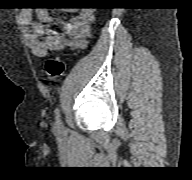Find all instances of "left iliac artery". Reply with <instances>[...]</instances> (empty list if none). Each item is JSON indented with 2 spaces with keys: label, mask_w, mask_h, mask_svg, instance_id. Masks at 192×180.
<instances>
[{
  "label": "left iliac artery",
  "mask_w": 192,
  "mask_h": 180,
  "mask_svg": "<svg viewBox=\"0 0 192 180\" xmlns=\"http://www.w3.org/2000/svg\"><path fill=\"white\" fill-rule=\"evenodd\" d=\"M55 120H56L57 125L61 124V116H60V111L58 108L55 110Z\"/></svg>",
  "instance_id": "left-iliac-artery-1"
}]
</instances>
